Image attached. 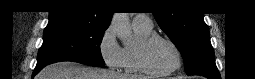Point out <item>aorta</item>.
<instances>
[{"label": "aorta", "instance_id": "762f6f07", "mask_svg": "<svg viewBox=\"0 0 255 79\" xmlns=\"http://www.w3.org/2000/svg\"><path fill=\"white\" fill-rule=\"evenodd\" d=\"M110 26L124 45L131 42L132 29L128 13H115L112 17Z\"/></svg>", "mask_w": 255, "mask_h": 79}]
</instances>
